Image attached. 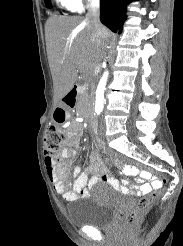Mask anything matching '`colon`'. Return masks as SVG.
<instances>
[{
    "mask_svg": "<svg viewBox=\"0 0 183 246\" xmlns=\"http://www.w3.org/2000/svg\"><path fill=\"white\" fill-rule=\"evenodd\" d=\"M65 111L63 109H57L56 111V121L63 122L65 120ZM64 140V135L60 129L55 125H49L45 130L44 136V150L48 156L55 157L56 154L61 149ZM107 154H112L116 160H123V162H128L131 167H140L144 170H149L151 174L158 175V185L155 189L147 196L141 198L137 205L129 212H125L121 215V221L119 228H130L132 227L140 218V216L149 208L151 203L160 197L162 192V187L164 182H170V177L167 174H162L161 170H153V167H146L144 162H133L132 157L129 155H120L116 149H107Z\"/></svg>",
    "mask_w": 183,
    "mask_h": 246,
    "instance_id": "obj_1",
    "label": "colon"
}]
</instances>
